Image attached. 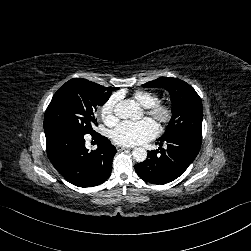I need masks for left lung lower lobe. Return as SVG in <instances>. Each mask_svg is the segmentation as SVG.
I'll return each mask as SVG.
<instances>
[{
  "label": "left lung lower lobe",
  "mask_w": 251,
  "mask_h": 251,
  "mask_svg": "<svg viewBox=\"0 0 251 251\" xmlns=\"http://www.w3.org/2000/svg\"><path fill=\"white\" fill-rule=\"evenodd\" d=\"M158 141L160 146L165 142L167 148L150 151L144 162L135 165V170L144 181L162 185L185 172L199 153L202 137L181 133Z\"/></svg>",
  "instance_id": "1"
}]
</instances>
